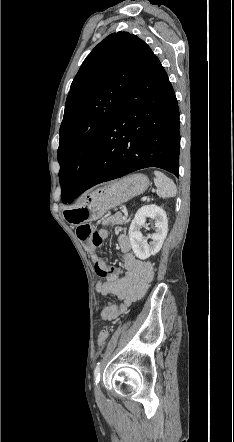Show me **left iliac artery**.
<instances>
[{"instance_id": "1", "label": "left iliac artery", "mask_w": 234, "mask_h": 442, "mask_svg": "<svg viewBox=\"0 0 234 442\" xmlns=\"http://www.w3.org/2000/svg\"><path fill=\"white\" fill-rule=\"evenodd\" d=\"M94 380L97 384L100 380V362L97 363L95 369H94Z\"/></svg>"}]
</instances>
